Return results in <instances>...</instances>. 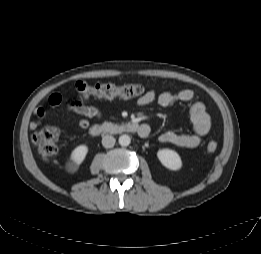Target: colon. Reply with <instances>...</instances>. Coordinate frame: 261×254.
Segmentation results:
<instances>
[{
  "instance_id": "obj_1",
  "label": "colon",
  "mask_w": 261,
  "mask_h": 254,
  "mask_svg": "<svg viewBox=\"0 0 261 254\" xmlns=\"http://www.w3.org/2000/svg\"><path fill=\"white\" fill-rule=\"evenodd\" d=\"M75 92L83 98L101 97L133 99L144 94V87L139 84L115 85L112 83H96L89 84L87 82H77L75 84ZM59 96H53L50 104L55 106L60 104ZM59 130L53 126H47L38 129L33 134V142L36 145L39 154L44 160L51 159L57 152V144L59 140ZM217 143L211 141L207 144L206 150L214 153L217 150Z\"/></svg>"
}]
</instances>
